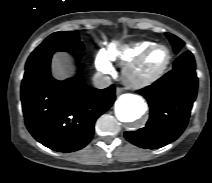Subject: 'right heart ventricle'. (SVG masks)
I'll list each match as a JSON object with an SVG mask.
<instances>
[{"label":"right heart ventricle","mask_w":212,"mask_h":183,"mask_svg":"<svg viewBox=\"0 0 212 183\" xmlns=\"http://www.w3.org/2000/svg\"><path fill=\"white\" fill-rule=\"evenodd\" d=\"M154 44H156V42L153 41H141L131 45L111 44L102 53L105 55L107 60L118 61L121 64H127L139 56L148 47Z\"/></svg>","instance_id":"obj_1"}]
</instances>
